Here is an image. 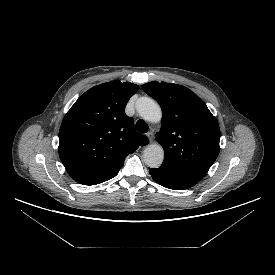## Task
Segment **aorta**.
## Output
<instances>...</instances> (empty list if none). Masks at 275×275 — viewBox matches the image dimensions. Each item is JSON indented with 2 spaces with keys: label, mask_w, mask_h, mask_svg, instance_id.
<instances>
[{
  "label": "aorta",
  "mask_w": 275,
  "mask_h": 275,
  "mask_svg": "<svg viewBox=\"0 0 275 275\" xmlns=\"http://www.w3.org/2000/svg\"><path fill=\"white\" fill-rule=\"evenodd\" d=\"M139 115L145 120L157 123L161 120L162 111L159 104L151 98L141 97L136 102ZM143 160L150 168H159L164 160V150L159 144H150L144 150Z\"/></svg>",
  "instance_id": "1"
}]
</instances>
